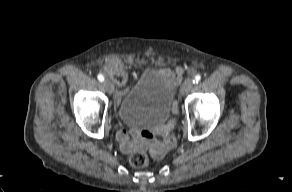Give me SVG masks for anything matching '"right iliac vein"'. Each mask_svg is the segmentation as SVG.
<instances>
[{
  "instance_id": "obj_1",
  "label": "right iliac vein",
  "mask_w": 292,
  "mask_h": 192,
  "mask_svg": "<svg viewBox=\"0 0 292 192\" xmlns=\"http://www.w3.org/2000/svg\"><path fill=\"white\" fill-rule=\"evenodd\" d=\"M103 85H104L106 91L109 94H112V92L114 90L112 83L109 80H105L104 83H103Z\"/></svg>"
}]
</instances>
